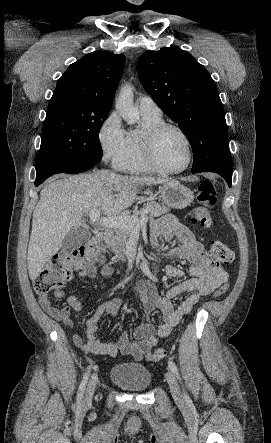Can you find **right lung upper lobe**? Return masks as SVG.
I'll use <instances>...</instances> for the list:
<instances>
[{"instance_id":"cb5924a9","label":"right lung upper lobe","mask_w":271,"mask_h":443,"mask_svg":"<svg viewBox=\"0 0 271 443\" xmlns=\"http://www.w3.org/2000/svg\"><path fill=\"white\" fill-rule=\"evenodd\" d=\"M124 64L123 54L97 51L84 56L58 79L49 104L74 103L91 113H109Z\"/></svg>"}]
</instances>
